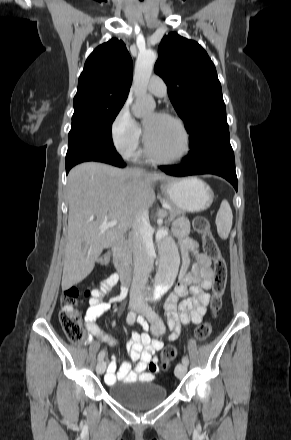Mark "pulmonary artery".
Instances as JSON below:
<instances>
[{
    "mask_svg": "<svg viewBox=\"0 0 291 440\" xmlns=\"http://www.w3.org/2000/svg\"><path fill=\"white\" fill-rule=\"evenodd\" d=\"M147 89L150 93L159 97L165 96L167 92L165 81L158 75H153L151 77Z\"/></svg>",
    "mask_w": 291,
    "mask_h": 440,
    "instance_id": "pulmonary-artery-1",
    "label": "pulmonary artery"
}]
</instances>
